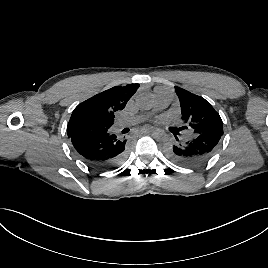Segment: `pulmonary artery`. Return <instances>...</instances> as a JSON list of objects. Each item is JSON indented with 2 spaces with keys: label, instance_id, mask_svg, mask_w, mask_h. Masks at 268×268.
Instances as JSON below:
<instances>
[{
  "label": "pulmonary artery",
  "instance_id": "pulmonary-artery-1",
  "mask_svg": "<svg viewBox=\"0 0 268 268\" xmlns=\"http://www.w3.org/2000/svg\"><path fill=\"white\" fill-rule=\"evenodd\" d=\"M172 97H173L172 94L168 91H165L162 89L157 90L154 94L152 112L164 109L170 103V101L172 100ZM152 112L142 113L135 118L125 117L118 121V123L116 124V128L127 126L135 121L136 122L143 121L149 118Z\"/></svg>",
  "mask_w": 268,
  "mask_h": 268
}]
</instances>
